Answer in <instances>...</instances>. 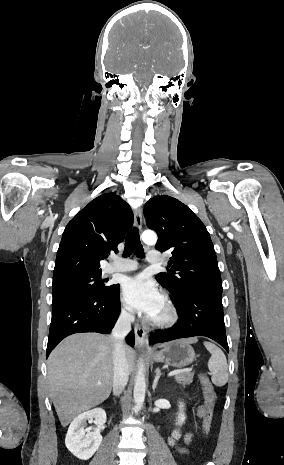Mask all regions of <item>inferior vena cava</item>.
<instances>
[{
	"instance_id": "inferior-vena-cava-1",
	"label": "inferior vena cava",
	"mask_w": 284,
	"mask_h": 465,
	"mask_svg": "<svg viewBox=\"0 0 284 465\" xmlns=\"http://www.w3.org/2000/svg\"><path fill=\"white\" fill-rule=\"evenodd\" d=\"M134 315L126 313L119 317L113 331L112 339H114V377H113V393L114 395H121L125 389L129 379L128 363L124 351V339L131 331V325L134 323Z\"/></svg>"
}]
</instances>
